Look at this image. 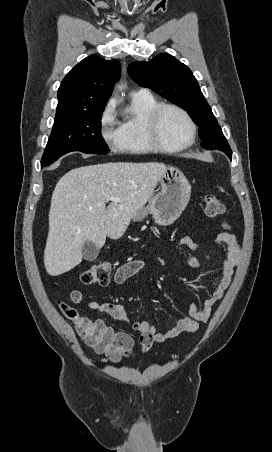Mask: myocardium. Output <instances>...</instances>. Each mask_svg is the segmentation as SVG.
<instances>
[{
	"mask_svg": "<svg viewBox=\"0 0 272 452\" xmlns=\"http://www.w3.org/2000/svg\"><path fill=\"white\" fill-rule=\"evenodd\" d=\"M166 109H172L180 113L186 120L188 126H189V137L188 139L176 146H168L165 143L162 142L159 135V120L162 115V113ZM197 134V127L190 116V114L181 106L172 104V103H160L148 116L147 122H146V135L147 138L152 145V147L155 150L162 151V152H168V153H175L182 151L188 147H190L193 142L195 141Z\"/></svg>",
	"mask_w": 272,
	"mask_h": 452,
	"instance_id": "myocardium-1",
	"label": "myocardium"
}]
</instances>
